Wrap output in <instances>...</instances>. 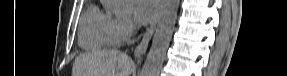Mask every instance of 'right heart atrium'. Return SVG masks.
<instances>
[{
    "label": "right heart atrium",
    "mask_w": 287,
    "mask_h": 76,
    "mask_svg": "<svg viewBox=\"0 0 287 76\" xmlns=\"http://www.w3.org/2000/svg\"><path fill=\"white\" fill-rule=\"evenodd\" d=\"M133 32L134 24L129 18L118 17L113 20L112 33L117 43L130 38Z\"/></svg>",
    "instance_id": "right-heart-atrium-1"
}]
</instances>
